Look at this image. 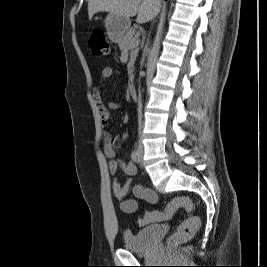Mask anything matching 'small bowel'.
<instances>
[{"label":"small bowel","mask_w":267,"mask_h":267,"mask_svg":"<svg viewBox=\"0 0 267 267\" xmlns=\"http://www.w3.org/2000/svg\"><path fill=\"white\" fill-rule=\"evenodd\" d=\"M115 71L111 67H105L101 72V80L106 81L109 78L113 77ZM93 98L95 101V105L97 107V111L101 120L102 127L104 129L107 128L110 114L109 109L116 110L121 107V103L110 100L107 105L104 104L102 100V86H97L93 92ZM104 146L103 151L105 156L109 159L108 168L111 174H115L118 168H121L123 172L128 176H133L137 173L136 165L131 161H123L117 159V154L119 150V142L116 137H113L107 131L104 132L103 136ZM131 189V182L126 180L124 182H120L118 180H114L112 183V191L114 196L120 200V207L125 213H135L139 208V203L136 199L127 198V194ZM132 192L134 196L138 199L145 200L150 204H155L158 201V196L155 191L145 188L140 184H136L132 186Z\"/></svg>","instance_id":"1"}]
</instances>
